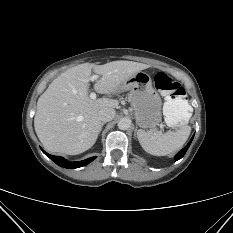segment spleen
Returning a JSON list of instances; mask_svg holds the SVG:
<instances>
[{
  "instance_id": "spleen-1",
  "label": "spleen",
  "mask_w": 233,
  "mask_h": 233,
  "mask_svg": "<svg viewBox=\"0 0 233 233\" xmlns=\"http://www.w3.org/2000/svg\"><path fill=\"white\" fill-rule=\"evenodd\" d=\"M191 110L187 101L168 98L163 105L165 122L171 127L180 123L181 127L177 131L166 133L138 130L137 138L143 149L156 156H165L179 150L190 135L187 122L192 116Z\"/></svg>"
}]
</instances>
